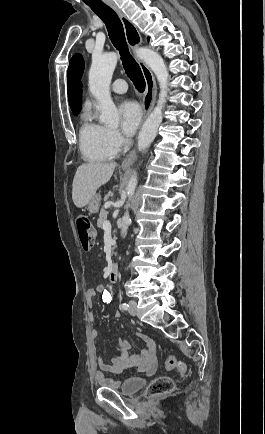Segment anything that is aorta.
I'll return each instance as SVG.
<instances>
[{
    "mask_svg": "<svg viewBox=\"0 0 265 434\" xmlns=\"http://www.w3.org/2000/svg\"><path fill=\"white\" fill-rule=\"evenodd\" d=\"M136 54L140 60H143L147 64L148 68H151L154 72L160 86L159 100L156 108L148 116L146 122L143 124L141 132L138 136V150H145L153 140H155L160 124H162L163 116L162 110L164 108V102L167 98L168 90V70L165 66V62L158 52L150 50V48H139L136 50ZM118 56L115 52H108V54H102V56H92V64L89 72V92L92 96H95L98 100V110L100 112V122L106 124V126H115L117 128L119 124V112L111 98L110 84L113 76V72L117 66ZM137 186V176L133 174L131 176L126 192L128 198H132L135 194ZM127 208V206H126ZM130 224V218L128 212H125L121 220V236L125 238Z\"/></svg>",
    "mask_w": 265,
    "mask_h": 434,
    "instance_id": "762f6f07",
    "label": "aorta"
}]
</instances>
